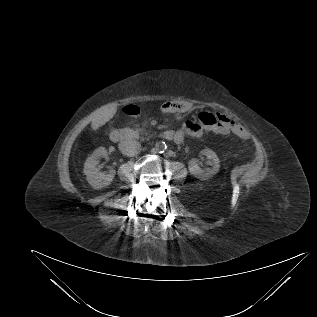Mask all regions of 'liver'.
<instances>
[{
	"label": "liver",
	"mask_w": 317,
	"mask_h": 317,
	"mask_svg": "<svg viewBox=\"0 0 317 317\" xmlns=\"http://www.w3.org/2000/svg\"><path fill=\"white\" fill-rule=\"evenodd\" d=\"M117 111L116 103H109L104 105L97 110H95L91 115V128L92 130H97L104 124H106L110 119L114 117Z\"/></svg>",
	"instance_id": "6515ba94"
}]
</instances>
